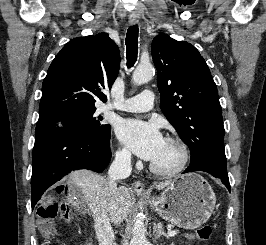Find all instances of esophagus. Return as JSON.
I'll list each match as a JSON object with an SVG mask.
<instances>
[{
	"mask_svg": "<svg viewBox=\"0 0 266 245\" xmlns=\"http://www.w3.org/2000/svg\"><path fill=\"white\" fill-rule=\"evenodd\" d=\"M138 22V16L135 14H131L129 16V24L134 25ZM133 188L136 194L138 195H147V190L145 189L144 183L140 181H135L133 184Z\"/></svg>",
	"mask_w": 266,
	"mask_h": 245,
	"instance_id": "esophagus-1",
	"label": "esophagus"
}]
</instances>
